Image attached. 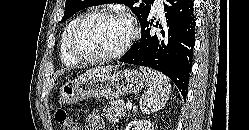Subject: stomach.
Listing matches in <instances>:
<instances>
[{"mask_svg": "<svg viewBox=\"0 0 249 130\" xmlns=\"http://www.w3.org/2000/svg\"><path fill=\"white\" fill-rule=\"evenodd\" d=\"M145 84V76L135 69L96 72L66 82L60 88L59 98L63 104H73L91 97L113 99L137 94Z\"/></svg>", "mask_w": 249, "mask_h": 130, "instance_id": "obj_1", "label": "stomach"}]
</instances>
